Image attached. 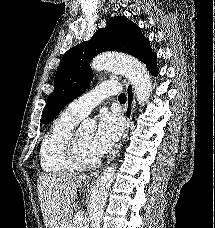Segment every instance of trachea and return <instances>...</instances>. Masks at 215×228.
<instances>
[{
    "label": "trachea",
    "instance_id": "1",
    "mask_svg": "<svg viewBox=\"0 0 215 228\" xmlns=\"http://www.w3.org/2000/svg\"><path fill=\"white\" fill-rule=\"evenodd\" d=\"M119 101L122 102V103L126 102V95L124 93H121L119 95Z\"/></svg>",
    "mask_w": 215,
    "mask_h": 228
}]
</instances>
